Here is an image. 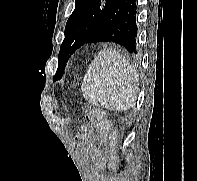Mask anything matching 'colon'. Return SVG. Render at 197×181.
I'll return each mask as SVG.
<instances>
[{
    "mask_svg": "<svg viewBox=\"0 0 197 181\" xmlns=\"http://www.w3.org/2000/svg\"><path fill=\"white\" fill-rule=\"evenodd\" d=\"M86 118L88 121L96 126V128L107 135L112 143L117 140V131L112 127L109 120L107 119V114L104 110L99 108H85Z\"/></svg>",
    "mask_w": 197,
    "mask_h": 181,
    "instance_id": "1",
    "label": "colon"
}]
</instances>
